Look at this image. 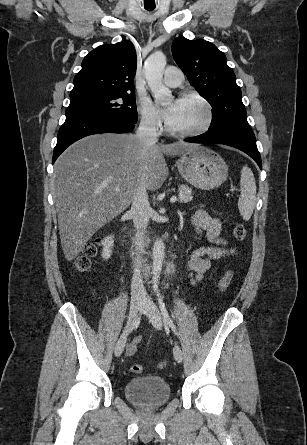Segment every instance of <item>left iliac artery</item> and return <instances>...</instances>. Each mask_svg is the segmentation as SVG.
<instances>
[{"mask_svg": "<svg viewBox=\"0 0 307 445\" xmlns=\"http://www.w3.org/2000/svg\"><path fill=\"white\" fill-rule=\"evenodd\" d=\"M157 297H158V304H159V307H160V310H161L164 322L167 325L170 326V328L175 333V335H178V332L176 330V326H175V324L173 323L172 319L169 316V313H168L167 308H166L165 303H164V299H163V297H162V295L160 294L159 291H157Z\"/></svg>", "mask_w": 307, "mask_h": 445, "instance_id": "1", "label": "left iliac artery"}]
</instances>
